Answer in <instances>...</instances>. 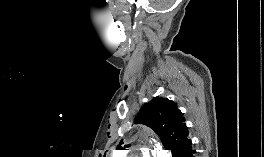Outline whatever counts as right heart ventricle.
<instances>
[{
  "mask_svg": "<svg viewBox=\"0 0 264 157\" xmlns=\"http://www.w3.org/2000/svg\"><path fill=\"white\" fill-rule=\"evenodd\" d=\"M112 157H122L120 153L114 154Z\"/></svg>",
  "mask_w": 264,
  "mask_h": 157,
  "instance_id": "obj_1",
  "label": "right heart ventricle"
}]
</instances>
